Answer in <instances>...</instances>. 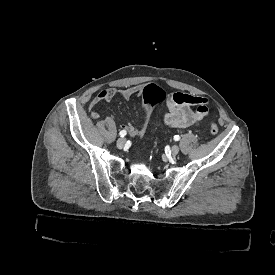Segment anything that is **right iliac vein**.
<instances>
[{
    "label": "right iliac vein",
    "instance_id": "obj_1",
    "mask_svg": "<svg viewBox=\"0 0 275 275\" xmlns=\"http://www.w3.org/2000/svg\"><path fill=\"white\" fill-rule=\"evenodd\" d=\"M116 145L119 149H122L126 145V139L125 138H119L116 142Z\"/></svg>",
    "mask_w": 275,
    "mask_h": 275
}]
</instances>
